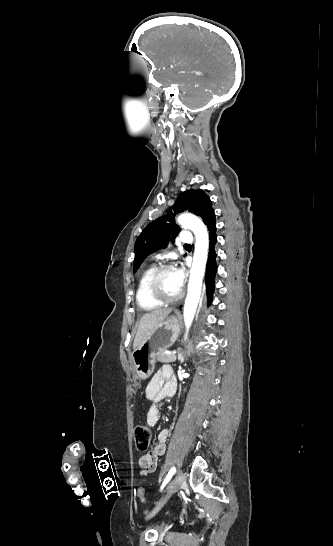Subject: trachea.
Instances as JSON below:
<instances>
[{
    "label": "trachea",
    "mask_w": 333,
    "mask_h": 546,
    "mask_svg": "<svg viewBox=\"0 0 333 546\" xmlns=\"http://www.w3.org/2000/svg\"><path fill=\"white\" fill-rule=\"evenodd\" d=\"M189 246H190V245H187V244L185 245V247H189Z\"/></svg>",
    "instance_id": "1"
}]
</instances>
